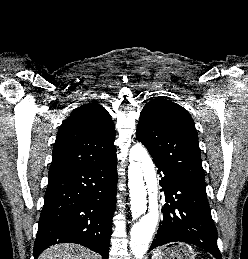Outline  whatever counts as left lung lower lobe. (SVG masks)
<instances>
[{
    "label": "left lung lower lobe",
    "instance_id": "left-lung-lower-lobe-1",
    "mask_svg": "<svg viewBox=\"0 0 248 259\" xmlns=\"http://www.w3.org/2000/svg\"><path fill=\"white\" fill-rule=\"evenodd\" d=\"M165 192L166 204L152 249L169 242H186L201 247L222 259L217 246V231L211 217L206 190L185 182L172 170L154 160Z\"/></svg>",
    "mask_w": 248,
    "mask_h": 259
}]
</instances>
